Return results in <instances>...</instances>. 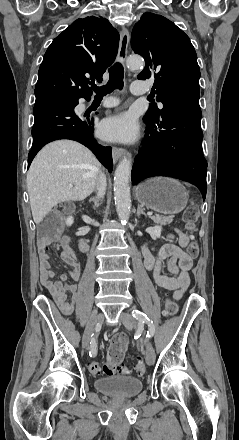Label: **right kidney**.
<instances>
[{
    "mask_svg": "<svg viewBox=\"0 0 239 440\" xmlns=\"http://www.w3.org/2000/svg\"><path fill=\"white\" fill-rule=\"evenodd\" d=\"M73 222H74V218H72V216H69V218H67L66 220L67 226H72Z\"/></svg>",
    "mask_w": 239,
    "mask_h": 440,
    "instance_id": "1",
    "label": "right kidney"
}]
</instances>
